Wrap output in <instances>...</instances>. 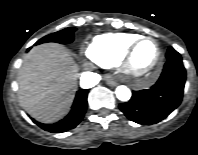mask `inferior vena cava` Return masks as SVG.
<instances>
[{
  "mask_svg": "<svg viewBox=\"0 0 198 155\" xmlns=\"http://www.w3.org/2000/svg\"><path fill=\"white\" fill-rule=\"evenodd\" d=\"M81 85L88 88L95 86L100 81V75L93 72H84L81 77Z\"/></svg>",
  "mask_w": 198,
  "mask_h": 155,
  "instance_id": "602c4592",
  "label": "inferior vena cava"
}]
</instances>
